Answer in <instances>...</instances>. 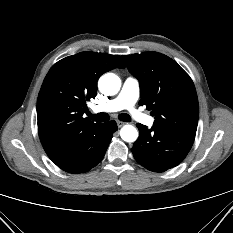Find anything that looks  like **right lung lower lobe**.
Masks as SVG:
<instances>
[{
	"label": "right lung lower lobe",
	"mask_w": 233,
	"mask_h": 233,
	"mask_svg": "<svg viewBox=\"0 0 233 233\" xmlns=\"http://www.w3.org/2000/svg\"><path fill=\"white\" fill-rule=\"evenodd\" d=\"M117 130L115 121L100 124L94 136V147L90 155L80 163L56 164L62 170L69 173H84L96 166L104 157L107 147L112 139V134Z\"/></svg>",
	"instance_id": "obj_1"
}]
</instances>
